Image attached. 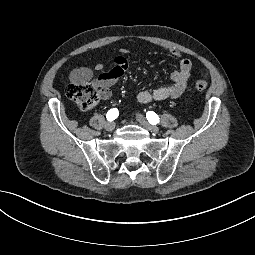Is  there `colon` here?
<instances>
[{"mask_svg": "<svg viewBox=\"0 0 255 255\" xmlns=\"http://www.w3.org/2000/svg\"><path fill=\"white\" fill-rule=\"evenodd\" d=\"M207 87L208 82L206 80H196L195 88L197 90L203 91ZM66 95L83 110L92 109L99 100V91L92 84L71 83L66 87Z\"/></svg>", "mask_w": 255, "mask_h": 255, "instance_id": "1", "label": "colon"}]
</instances>
